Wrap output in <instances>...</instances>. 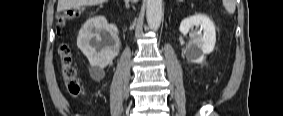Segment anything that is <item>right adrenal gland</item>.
Returning <instances> with one entry per match:
<instances>
[{"label":"right adrenal gland","instance_id":"1","mask_svg":"<svg viewBox=\"0 0 283 116\" xmlns=\"http://www.w3.org/2000/svg\"><path fill=\"white\" fill-rule=\"evenodd\" d=\"M124 2H125L126 8H129L130 7V3H129L130 1L129 0H125Z\"/></svg>","mask_w":283,"mask_h":116}]
</instances>
